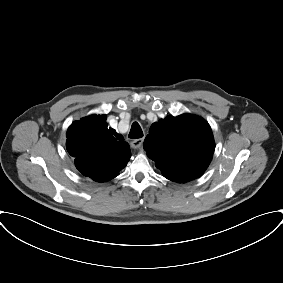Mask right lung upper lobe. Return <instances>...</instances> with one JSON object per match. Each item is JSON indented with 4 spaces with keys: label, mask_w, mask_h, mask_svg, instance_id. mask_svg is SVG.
<instances>
[{
    "label": "right lung upper lobe",
    "mask_w": 283,
    "mask_h": 283,
    "mask_svg": "<svg viewBox=\"0 0 283 283\" xmlns=\"http://www.w3.org/2000/svg\"><path fill=\"white\" fill-rule=\"evenodd\" d=\"M105 119V115L85 117L67 131L66 148L76 168L97 182L118 176L131 157L128 143L113 129L108 130Z\"/></svg>",
    "instance_id": "cb5924a9"
}]
</instances>
